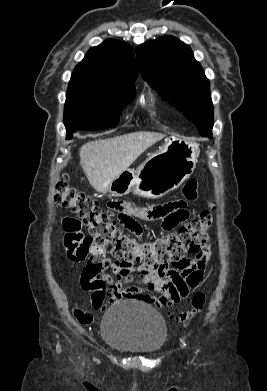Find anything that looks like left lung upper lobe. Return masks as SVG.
<instances>
[{"label": "left lung upper lobe", "mask_w": 267, "mask_h": 391, "mask_svg": "<svg viewBox=\"0 0 267 391\" xmlns=\"http://www.w3.org/2000/svg\"><path fill=\"white\" fill-rule=\"evenodd\" d=\"M141 76L171 105L194 122L201 135L212 134L213 106L210 85L188 45L163 36L137 46Z\"/></svg>", "instance_id": "1"}]
</instances>
